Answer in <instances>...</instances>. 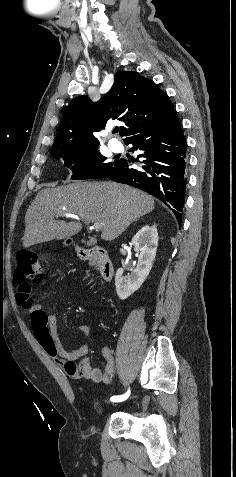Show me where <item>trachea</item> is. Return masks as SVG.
<instances>
[{
  "label": "trachea",
  "mask_w": 236,
  "mask_h": 477,
  "mask_svg": "<svg viewBox=\"0 0 236 477\" xmlns=\"http://www.w3.org/2000/svg\"><path fill=\"white\" fill-rule=\"evenodd\" d=\"M119 131V128L118 127H115L114 130H113V133H117Z\"/></svg>",
  "instance_id": "obj_1"
}]
</instances>
